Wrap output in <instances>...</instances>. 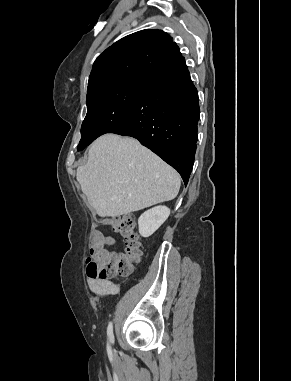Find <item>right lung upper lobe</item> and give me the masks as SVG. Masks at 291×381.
Returning a JSON list of instances; mask_svg holds the SVG:
<instances>
[{
    "label": "right lung upper lobe",
    "mask_w": 291,
    "mask_h": 381,
    "mask_svg": "<svg viewBox=\"0 0 291 381\" xmlns=\"http://www.w3.org/2000/svg\"><path fill=\"white\" fill-rule=\"evenodd\" d=\"M181 56L172 37L147 29L128 35L107 48L94 62L87 97L132 79H146Z\"/></svg>",
    "instance_id": "1"
}]
</instances>
